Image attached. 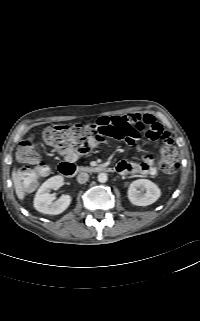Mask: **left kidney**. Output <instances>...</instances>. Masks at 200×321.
<instances>
[{"label":"left kidney","mask_w":200,"mask_h":321,"mask_svg":"<svg viewBox=\"0 0 200 321\" xmlns=\"http://www.w3.org/2000/svg\"><path fill=\"white\" fill-rule=\"evenodd\" d=\"M146 191L142 193V191ZM161 196L159 187L148 179L133 181L128 189V199L136 206H148L156 202Z\"/></svg>","instance_id":"left-kidney-1"}]
</instances>
